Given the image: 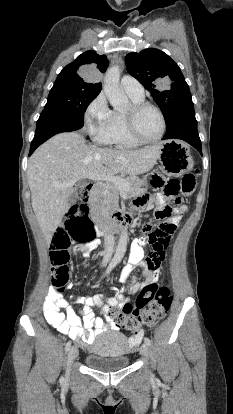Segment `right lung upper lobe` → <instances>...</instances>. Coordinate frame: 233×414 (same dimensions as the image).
Segmentation results:
<instances>
[{
  "instance_id": "1",
  "label": "right lung upper lobe",
  "mask_w": 233,
  "mask_h": 414,
  "mask_svg": "<svg viewBox=\"0 0 233 414\" xmlns=\"http://www.w3.org/2000/svg\"><path fill=\"white\" fill-rule=\"evenodd\" d=\"M108 64L109 62L105 55H98L94 51H87L78 56L74 62L64 67L56 81L101 91V83L91 82L90 79L96 72L104 73ZM82 68L86 70V75L84 77H81L78 73Z\"/></svg>"
}]
</instances>
